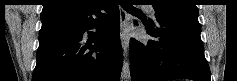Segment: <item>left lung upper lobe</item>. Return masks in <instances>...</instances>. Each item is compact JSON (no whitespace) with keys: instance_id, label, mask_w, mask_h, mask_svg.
Masks as SVG:
<instances>
[{"instance_id":"left-lung-upper-lobe-1","label":"left lung upper lobe","mask_w":237,"mask_h":81,"mask_svg":"<svg viewBox=\"0 0 237 81\" xmlns=\"http://www.w3.org/2000/svg\"><path fill=\"white\" fill-rule=\"evenodd\" d=\"M156 19L185 18L198 20L194 0H152ZM150 22H152L150 20Z\"/></svg>"}]
</instances>
